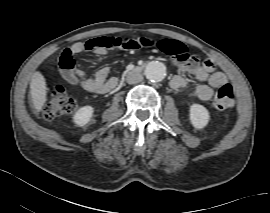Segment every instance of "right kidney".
<instances>
[{"label": "right kidney", "instance_id": "right-kidney-1", "mask_svg": "<svg viewBox=\"0 0 270 213\" xmlns=\"http://www.w3.org/2000/svg\"><path fill=\"white\" fill-rule=\"evenodd\" d=\"M94 109L92 106H83L81 107L74 115V122L78 125V126H84L86 125L92 115H93Z\"/></svg>", "mask_w": 270, "mask_h": 213}]
</instances>
